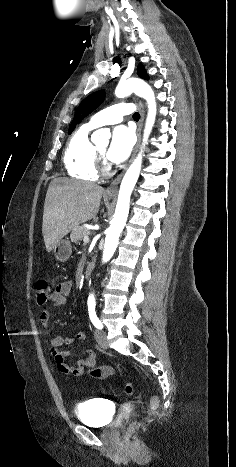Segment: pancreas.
<instances>
[{"label": "pancreas", "instance_id": "pancreas-1", "mask_svg": "<svg viewBox=\"0 0 236 467\" xmlns=\"http://www.w3.org/2000/svg\"><path fill=\"white\" fill-rule=\"evenodd\" d=\"M89 234H90L89 229L83 226H78L72 230L70 238L72 242L78 243L83 239L84 236L89 235Z\"/></svg>", "mask_w": 236, "mask_h": 467}]
</instances>
